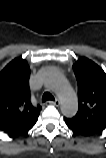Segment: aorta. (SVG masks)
I'll return each mask as SVG.
<instances>
[{
  "label": "aorta",
  "mask_w": 106,
  "mask_h": 158,
  "mask_svg": "<svg viewBox=\"0 0 106 158\" xmlns=\"http://www.w3.org/2000/svg\"><path fill=\"white\" fill-rule=\"evenodd\" d=\"M45 85L58 94L63 115L73 117L77 113L78 102L69 82L60 73L51 71L45 77Z\"/></svg>",
  "instance_id": "762f6f07"
}]
</instances>
